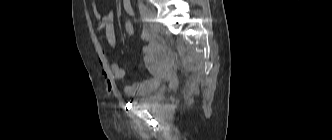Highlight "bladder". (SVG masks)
<instances>
[{
  "label": "bladder",
  "mask_w": 332,
  "mask_h": 140,
  "mask_svg": "<svg viewBox=\"0 0 332 140\" xmlns=\"http://www.w3.org/2000/svg\"><path fill=\"white\" fill-rule=\"evenodd\" d=\"M148 83L147 89L135 96L132 101L135 104L147 105L155 100L159 99L160 97V87H161V80L160 79H150L145 81Z\"/></svg>",
  "instance_id": "1"
}]
</instances>
